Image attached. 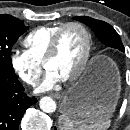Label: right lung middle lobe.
I'll list each match as a JSON object with an SVG mask.
<instances>
[{
    "mask_svg": "<svg viewBox=\"0 0 130 130\" xmlns=\"http://www.w3.org/2000/svg\"><path fill=\"white\" fill-rule=\"evenodd\" d=\"M24 22L7 14H0V67L15 73L11 49L17 39L28 29Z\"/></svg>",
    "mask_w": 130,
    "mask_h": 130,
    "instance_id": "right-lung-middle-lobe-1",
    "label": "right lung middle lobe"
}]
</instances>
